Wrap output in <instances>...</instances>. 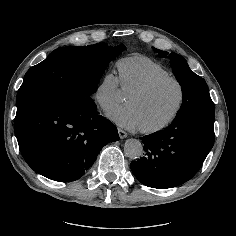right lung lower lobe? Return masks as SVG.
I'll return each instance as SVG.
<instances>
[{"label":"right lung lower lobe","mask_w":236,"mask_h":236,"mask_svg":"<svg viewBox=\"0 0 236 236\" xmlns=\"http://www.w3.org/2000/svg\"><path fill=\"white\" fill-rule=\"evenodd\" d=\"M14 130L22 156L37 173L55 181L79 179L117 128L99 115L94 101L76 97L33 103L16 113Z\"/></svg>","instance_id":"right-lung-lower-lobe-1"}]
</instances>
